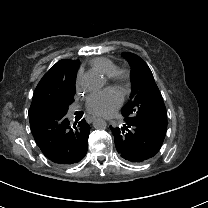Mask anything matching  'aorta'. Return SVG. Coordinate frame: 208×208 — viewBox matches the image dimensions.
Wrapping results in <instances>:
<instances>
[{
    "label": "aorta",
    "instance_id": "aorta-1",
    "mask_svg": "<svg viewBox=\"0 0 208 208\" xmlns=\"http://www.w3.org/2000/svg\"><path fill=\"white\" fill-rule=\"evenodd\" d=\"M106 126H107L106 121L102 118H96L93 121V127L97 130H104Z\"/></svg>",
    "mask_w": 208,
    "mask_h": 208
}]
</instances>
